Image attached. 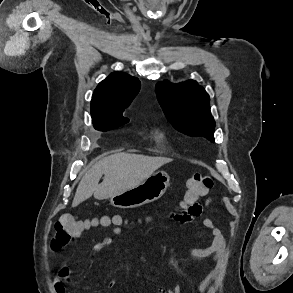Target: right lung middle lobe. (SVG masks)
<instances>
[{
	"label": "right lung middle lobe",
	"instance_id": "dd1d6c3e",
	"mask_svg": "<svg viewBox=\"0 0 293 293\" xmlns=\"http://www.w3.org/2000/svg\"><path fill=\"white\" fill-rule=\"evenodd\" d=\"M92 120L95 129L100 131H107L110 129L117 128L129 121V119L123 117L121 113L115 115L102 116Z\"/></svg>",
	"mask_w": 293,
	"mask_h": 293
}]
</instances>
